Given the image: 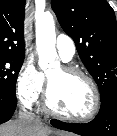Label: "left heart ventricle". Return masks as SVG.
<instances>
[{
  "label": "left heart ventricle",
  "mask_w": 117,
  "mask_h": 136,
  "mask_svg": "<svg viewBox=\"0 0 117 136\" xmlns=\"http://www.w3.org/2000/svg\"><path fill=\"white\" fill-rule=\"evenodd\" d=\"M50 101L63 114L81 117L88 114L93 106V93L88 83L79 76L66 75L58 68L48 75Z\"/></svg>",
  "instance_id": "1"
}]
</instances>
